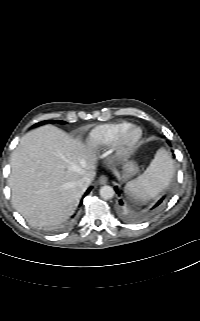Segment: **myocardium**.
<instances>
[{
  "mask_svg": "<svg viewBox=\"0 0 200 321\" xmlns=\"http://www.w3.org/2000/svg\"><path fill=\"white\" fill-rule=\"evenodd\" d=\"M143 136L142 129L138 126L131 125L121 135L117 141V153L123 155L134 149Z\"/></svg>",
  "mask_w": 200,
  "mask_h": 321,
  "instance_id": "obj_1",
  "label": "myocardium"
}]
</instances>
